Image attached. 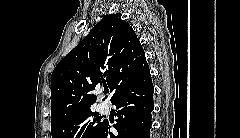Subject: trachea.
Wrapping results in <instances>:
<instances>
[{"label":"trachea","instance_id":"trachea-1","mask_svg":"<svg viewBox=\"0 0 240 138\" xmlns=\"http://www.w3.org/2000/svg\"><path fill=\"white\" fill-rule=\"evenodd\" d=\"M104 92H105V93H108V92H109L108 88H105V89H104Z\"/></svg>","mask_w":240,"mask_h":138}]
</instances>
